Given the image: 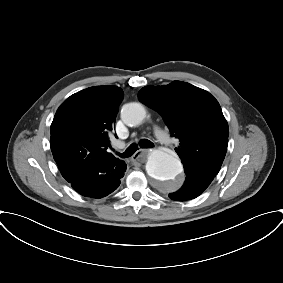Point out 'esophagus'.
<instances>
[{
	"mask_svg": "<svg viewBox=\"0 0 283 283\" xmlns=\"http://www.w3.org/2000/svg\"><path fill=\"white\" fill-rule=\"evenodd\" d=\"M148 150L147 149H140L139 151H137L133 157H132V161H138V162H144L146 155H147Z\"/></svg>",
	"mask_w": 283,
	"mask_h": 283,
	"instance_id": "obj_1",
	"label": "esophagus"
}]
</instances>
